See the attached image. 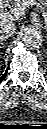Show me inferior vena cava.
<instances>
[{
    "label": "inferior vena cava",
    "mask_w": 47,
    "mask_h": 129,
    "mask_svg": "<svg viewBox=\"0 0 47 129\" xmlns=\"http://www.w3.org/2000/svg\"><path fill=\"white\" fill-rule=\"evenodd\" d=\"M16 31V26L12 22L2 21L0 23V33L10 37Z\"/></svg>",
    "instance_id": "1"
}]
</instances>
